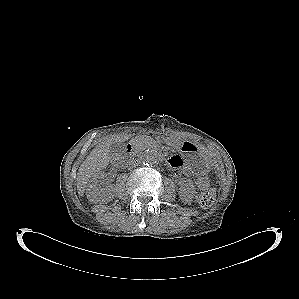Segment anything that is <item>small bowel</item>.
Listing matches in <instances>:
<instances>
[{
	"label": "small bowel",
	"instance_id": "1",
	"mask_svg": "<svg viewBox=\"0 0 299 299\" xmlns=\"http://www.w3.org/2000/svg\"><path fill=\"white\" fill-rule=\"evenodd\" d=\"M169 164L174 168H179L183 165V162L179 156H174L169 160Z\"/></svg>",
	"mask_w": 299,
	"mask_h": 299
}]
</instances>
